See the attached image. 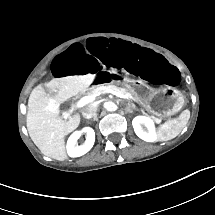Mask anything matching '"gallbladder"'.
I'll return each mask as SVG.
<instances>
[{"instance_id": "bac80fb5", "label": "gallbladder", "mask_w": 215, "mask_h": 215, "mask_svg": "<svg viewBox=\"0 0 215 215\" xmlns=\"http://www.w3.org/2000/svg\"><path fill=\"white\" fill-rule=\"evenodd\" d=\"M44 90H45V91H48V88H45Z\"/></svg>"}]
</instances>
